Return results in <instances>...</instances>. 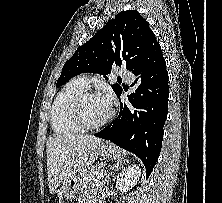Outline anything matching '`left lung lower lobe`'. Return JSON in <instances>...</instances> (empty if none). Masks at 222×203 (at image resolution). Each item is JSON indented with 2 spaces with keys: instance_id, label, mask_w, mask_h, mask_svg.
Here are the masks:
<instances>
[{
  "instance_id": "left-lung-lower-lobe-1",
  "label": "left lung lower lobe",
  "mask_w": 222,
  "mask_h": 203,
  "mask_svg": "<svg viewBox=\"0 0 222 203\" xmlns=\"http://www.w3.org/2000/svg\"><path fill=\"white\" fill-rule=\"evenodd\" d=\"M130 71L135 75L131 85L135 92L128 96V103L120 102L118 118L95 136L137 155L148 177L161 151L169 94L165 59L153 32Z\"/></svg>"
}]
</instances>
